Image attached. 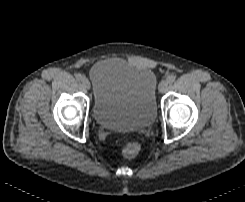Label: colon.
<instances>
[{
  "label": "colon",
  "instance_id": "colon-1",
  "mask_svg": "<svg viewBox=\"0 0 245 202\" xmlns=\"http://www.w3.org/2000/svg\"><path fill=\"white\" fill-rule=\"evenodd\" d=\"M121 151L124 157L131 159L140 152V145L136 141H126L123 143Z\"/></svg>",
  "mask_w": 245,
  "mask_h": 202
}]
</instances>
